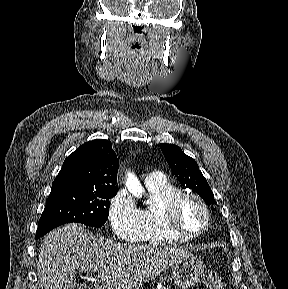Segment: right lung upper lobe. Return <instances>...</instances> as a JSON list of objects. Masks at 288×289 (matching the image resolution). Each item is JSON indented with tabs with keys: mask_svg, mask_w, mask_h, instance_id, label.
<instances>
[{
	"mask_svg": "<svg viewBox=\"0 0 288 289\" xmlns=\"http://www.w3.org/2000/svg\"><path fill=\"white\" fill-rule=\"evenodd\" d=\"M118 165L110 141L97 139L84 143L65 159L51 191L117 189Z\"/></svg>",
	"mask_w": 288,
	"mask_h": 289,
	"instance_id": "cb5924a9",
	"label": "right lung upper lobe"
}]
</instances>
